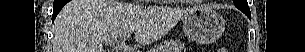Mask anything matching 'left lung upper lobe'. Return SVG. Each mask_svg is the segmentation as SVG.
Segmentation results:
<instances>
[{"label": "left lung upper lobe", "mask_w": 305, "mask_h": 52, "mask_svg": "<svg viewBox=\"0 0 305 52\" xmlns=\"http://www.w3.org/2000/svg\"><path fill=\"white\" fill-rule=\"evenodd\" d=\"M235 6L240 9L249 18L251 17L250 9L246 0H234Z\"/></svg>", "instance_id": "1"}]
</instances>
